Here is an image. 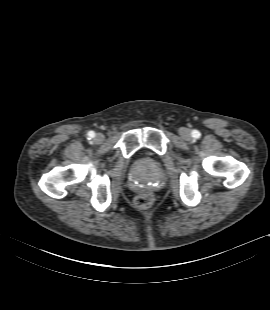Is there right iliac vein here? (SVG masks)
<instances>
[{
	"instance_id": "right-iliac-vein-1",
	"label": "right iliac vein",
	"mask_w": 270,
	"mask_h": 310,
	"mask_svg": "<svg viewBox=\"0 0 270 310\" xmlns=\"http://www.w3.org/2000/svg\"><path fill=\"white\" fill-rule=\"evenodd\" d=\"M104 135L101 134V133H98L96 134L95 138H94V141L97 143V144H100L104 141Z\"/></svg>"
}]
</instances>
